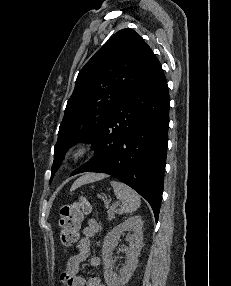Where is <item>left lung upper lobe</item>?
<instances>
[{
    "label": "left lung upper lobe",
    "instance_id": "1",
    "mask_svg": "<svg viewBox=\"0 0 231 286\" xmlns=\"http://www.w3.org/2000/svg\"><path fill=\"white\" fill-rule=\"evenodd\" d=\"M159 63L151 48L131 29L114 34L86 63L67 102L54 148L52 176L69 147L90 142L123 96Z\"/></svg>",
    "mask_w": 231,
    "mask_h": 286
}]
</instances>
